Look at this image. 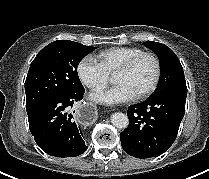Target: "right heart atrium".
Returning a JSON list of instances; mask_svg holds the SVG:
<instances>
[{
    "instance_id": "right-heart-atrium-1",
    "label": "right heart atrium",
    "mask_w": 209,
    "mask_h": 179,
    "mask_svg": "<svg viewBox=\"0 0 209 179\" xmlns=\"http://www.w3.org/2000/svg\"><path fill=\"white\" fill-rule=\"evenodd\" d=\"M77 74L83 85L94 91L102 89L109 81V75L97 60L90 56L80 60Z\"/></svg>"
}]
</instances>
